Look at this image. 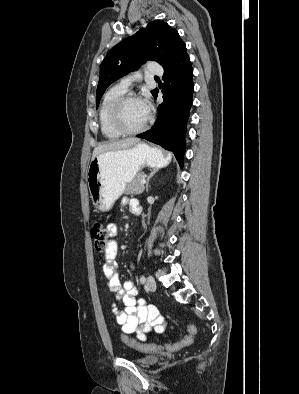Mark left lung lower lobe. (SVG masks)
<instances>
[{
  "instance_id": "1",
  "label": "left lung lower lobe",
  "mask_w": 299,
  "mask_h": 394,
  "mask_svg": "<svg viewBox=\"0 0 299 394\" xmlns=\"http://www.w3.org/2000/svg\"><path fill=\"white\" fill-rule=\"evenodd\" d=\"M163 103L158 106L154 126L137 137L172 151L183 167L186 123L193 101V69L186 46L172 63L164 67ZM158 90L153 94L156 99Z\"/></svg>"
}]
</instances>
